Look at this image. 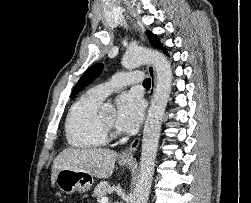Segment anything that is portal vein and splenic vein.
Listing matches in <instances>:
<instances>
[{
  "label": "portal vein and splenic vein",
  "instance_id": "obj_1",
  "mask_svg": "<svg viewBox=\"0 0 251 203\" xmlns=\"http://www.w3.org/2000/svg\"><path fill=\"white\" fill-rule=\"evenodd\" d=\"M101 203H108V198L107 197H103L101 199Z\"/></svg>",
  "mask_w": 251,
  "mask_h": 203
}]
</instances>
